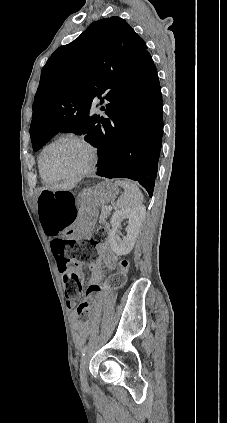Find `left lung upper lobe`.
<instances>
[{"mask_svg": "<svg viewBox=\"0 0 227 423\" xmlns=\"http://www.w3.org/2000/svg\"><path fill=\"white\" fill-rule=\"evenodd\" d=\"M156 71L144 40L120 17L101 19L73 42L59 47L41 71L33 103V150L59 132L87 134L99 128L92 104L105 113L129 111Z\"/></svg>", "mask_w": 227, "mask_h": 423, "instance_id": "obj_1", "label": "left lung upper lobe"}]
</instances>
